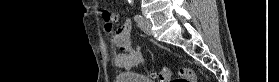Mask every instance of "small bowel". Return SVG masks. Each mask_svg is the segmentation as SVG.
<instances>
[{
	"instance_id": "small-bowel-1",
	"label": "small bowel",
	"mask_w": 279,
	"mask_h": 82,
	"mask_svg": "<svg viewBox=\"0 0 279 82\" xmlns=\"http://www.w3.org/2000/svg\"><path fill=\"white\" fill-rule=\"evenodd\" d=\"M117 16L104 24V29L108 32L111 42L120 49L114 55V64L117 67L131 69L142 59V52L139 46H133L130 40L132 23L127 21L117 30L113 29Z\"/></svg>"
}]
</instances>
